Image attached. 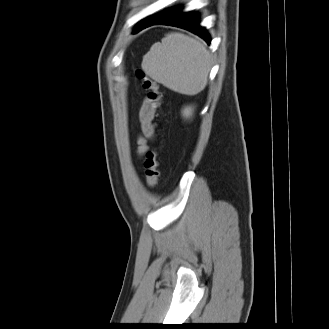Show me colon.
Wrapping results in <instances>:
<instances>
[{"label": "colon", "instance_id": "5ec220e1", "mask_svg": "<svg viewBox=\"0 0 329 329\" xmlns=\"http://www.w3.org/2000/svg\"><path fill=\"white\" fill-rule=\"evenodd\" d=\"M136 77L140 82L141 87L147 91L148 100L152 103L156 110L157 122L154 126L156 129H160L159 121L163 117V95L159 89V85L145 71L141 69H138L136 71ZM159 166V152L157 150V147L154 146L146 152L144 160L146 181L148 187L151 189L154 188L158 183V179L160 176Z\"/></svg>", "mask_w": 329, "mask_h": 329}]
</instances>
